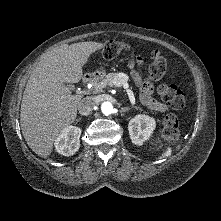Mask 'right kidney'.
<instances>
[{"instance_id":"ca27d5eb","label":"right kidney","mask_w":221,"mask_h":221,"mask_svg":"<svg viewBox=\"0 0 221 221\" xmlns=\"http://www.w3.org/2000/svg\"><path fill=\"white\" fill-rule=\"evenodd\" d=\"M81 132L79 127H66L55 140L56 151L64 156H71L77 152L80 147Z\"/></svg>"}]
</instances>
